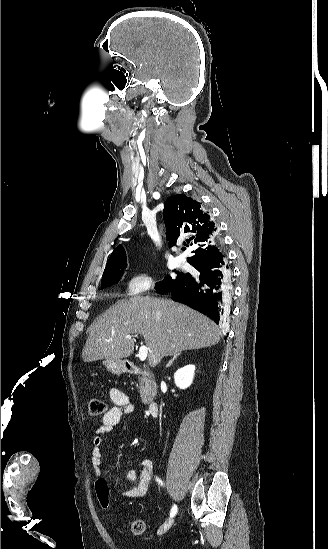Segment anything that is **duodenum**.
<instances>
[{"label": "duodenum", "mask_w": 328, "mask_h": 549, "mask_svg": "<svg viewBox=\"0 0 328 549\" xmlns=\"http://www.w3.org/2000/svg\"><path fill=\"white\" fill-rule=\"evenodd\" d=\"M126 369L129 373H132V374L142 373V370L133 364L127 365ZM147 409L150 415L156 416L158 414L159 405L156 401H151L149 402Z\"/></svg>", "instance_id": "obj_1"}]
</instances>
